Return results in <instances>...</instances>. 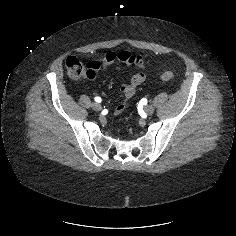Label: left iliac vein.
<instances>
[{"instance_id":"obj_1","label":"left iliac vein","mask_w":236,"mask_h":236,"mask_svg":"<svg viewBox=\"0 0 236 236\" xmlns=\"http://www.w3.org/2000/svg\"><path fill=\"white\" fill-rule=\"evenodd\" d=\"M144 111L148 114V115H152L154 113V107L152 105H146L144 107Z\"/></svg>"}]
</instances>
